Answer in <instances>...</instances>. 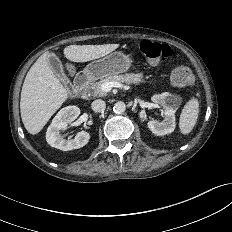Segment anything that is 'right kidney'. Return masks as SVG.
I'll use <instances>...</instances> for the list:
<instances>
[{"instance_id":"1","label":"right kidney","mask_w":232,"mask_h":232,"mask_svg":"<svg viewBox=\"0 0 232 232\" xmlns=\"http://www.w3.org/2000/svg\"><path fill=\"white\" fill-rule=\"evenodd\" d=\"M80 114L77 106H67L62 108L54 117L46 132V141L52 147L63 151L78 149L85 146L90 139V134L86 131L79 132L74 139H63L60 132L67 128L68 124L74 121Z\"/></svg>"}]
</instances>
